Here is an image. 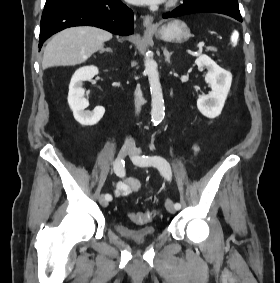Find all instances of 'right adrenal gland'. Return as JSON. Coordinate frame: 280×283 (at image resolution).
I'll return each mask as SVG.
<instances>
[{
  "label": "right adrenal gland",
  "mask_w": 280,
  "mask_h": 283,
  "mask_svg": "<svg viewBox=\"0 0 280 283\" xmlns=\"http://www.w3.org/2000/svg\"><path fill=\"white\" fill-rule=\"evenodd\" d=\"M105 51L113 53V50L111 48H103L100 50V53H104Z\"/></svg>",
  "instance_id": "2a0ac1e0"
}]
</instances>
